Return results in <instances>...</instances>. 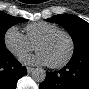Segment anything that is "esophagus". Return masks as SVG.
<instances>
[{"instance_id":"1","label":"esophagus","mask_w":89,"mask_h":89,"mask_svg":"<svg viewBox=\"0 0 89 89\" xmlns=\"http://www.w3.org/2000/svg\"><path fill=\"white\" fill-rule=\"evenodd\" d=\"M35 69L33 68V67H27V72L28 73H31V72H33Z\"/></svg>"}]
</instances>
